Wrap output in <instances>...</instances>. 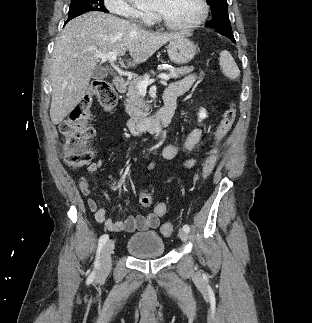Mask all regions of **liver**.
Listing matches in <instances>:
<instances>
[{
	"mask_svg": "<svg viewBox=\"0 0 312 323\" xmlns=\"http://www.w3.org/2000/svg\"><path fill=\"white\" fill-rule=\"evenodd\" d=\"M182 34L147 32L141 26L111 14L89 12L70 20L55 38L50 66L52 124H60L81 102L91 74L100 58L97 54L129 52L128 66L143 64L170 40Z\"/></svg>",
	"mask_w": 312,
	"mask_h": 323,
	"instance_id": "obj_1",
	"label": "liver"
}]
</instances>
